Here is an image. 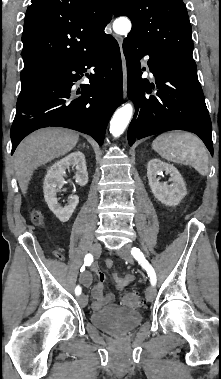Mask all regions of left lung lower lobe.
<instances>
[{"label": "left lung lower lobe", "instance_id": "left-lung-lower-lobe-1", "mask_svg": "<svg viewBox=\"0 0 221 379\" xmlns=\"http://www.w3.org/2000/svg\"><path fill=\"white\" fill-rule=\"evenodd\" d=\"M127 62L128 96L135 104V114L128 129V142L169 130L197 134L213 155L212 126L197 70L158 56L138 39L123 41ZM149 55L148 66L156 84L141 79L139 59ZM157 88L155 94L152 89Z\"/></svg>", "mask_w": 221, "mask_h": 379}]
</instances>
